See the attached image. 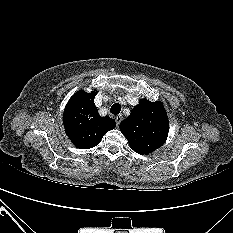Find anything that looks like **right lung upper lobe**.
<instances>
[{
	"instance_id": "cb5924a9",
	"label": "right lung upper lobe",
	"mask_w": 233,
	"mask_h": 233,
	"mask_svg": "<svg viewBox=\"0 0 233 233\" xmlns=\"http://www.w3.org/2000/svg\"><path fill=\"white\" fill-rule=\"evenodd\" d=\"M97 91L76 92L68 101L63 115L65 132L79 149L93 148L103 135L116 127L114 119L101 117L94 103Z\"/></svg>"
}]
</instances>
